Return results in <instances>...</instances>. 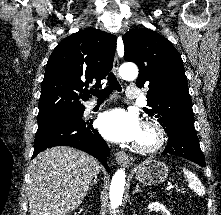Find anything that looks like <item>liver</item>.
Masks as SVG:
<instances>
[{"mask_svg":"<svg viewBox=\"0 0 221 215\" xmlns=\"http://www.w3.org/2000/svg\"><path fill=\"white\" fill-rule=\"evenodd\" d=\"M99 162L68 146H56L31 162L28 184L30 215H68L84 200Z\"/></svg>","mask_w":221,"mask_h":215,"instance_id":"6515ba94","label":"liver"}]
</instances>
